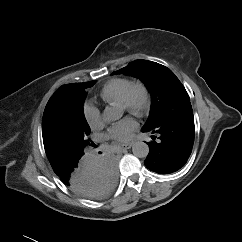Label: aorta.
Returning <instances> with one entry per match:
<instances>
[{
	"mask_svg": "<svg viewBox=\"0 0 242 242\" xmlns=\"http://www.w3.org/2000/svg\"><path fill=\"white\" fill-rule=\"evenodd\" d=\"M122 117V112L117 107L107 106L103 113L102 119L107 123L119 120ZM133 155L138 158H146L149 154V146L142 141H137L132 146Z\"/></svg>",
	"mask_w": 242,
	"mask_h": 242,
	"instance_id": "1",
	"label": "aorta"
}]
</instances>
